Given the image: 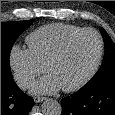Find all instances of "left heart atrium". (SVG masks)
<instances>
[{
    "instance_id": "1",
    "label": "left heart atrium",
    "mask_w": 115,
    "mask_h": 115,
    "mask_svg": "<svg viewBox=\"0 0 115 115\" xmlns=\"http://www.w3.org/2000/svg\"><path fill=\"white\" fill-rule=\"evenodd\" d=\"M62 88L60 83L50 74H47L33 86L34 93L53 94Z\"/></svg>"
}]
</instances>
